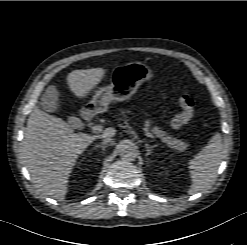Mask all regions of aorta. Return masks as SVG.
<instances>
[{"mask_svg":"<svg viewBox=\"0 0 247 245\" xmlns=\"http://www.w3.org/2000/svg\"><path fill=\"white\" fill-rule=\"evenodd\" d=\"M120 157L124 161L132 162L137 157V151L132 145L124 144L121 148Z\"/></svg>","mask_w":247,"mask_h":245,"instance_id":"1","label":"aorta"}]
</instances>
